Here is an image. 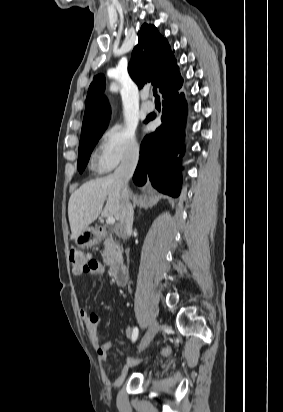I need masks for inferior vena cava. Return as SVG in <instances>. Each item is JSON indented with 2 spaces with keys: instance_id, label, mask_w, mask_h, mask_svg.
I'll use <instances>...</instances> for the list:
<instances>
[{
  "instance_id": "obj_1",
  "label": "inferior vena cava",
  "mask_w": 283,
  "mask_h": 412,
  "mask_svg": "<svg viewBox=\"0 0 283 412\" xmlns=\"http://www.w3.org/2000/svg\"><path fill=\"white\" fill-rule=\"evenodd\" d=\"M139 160V149H131L122 159L114 172L122 185V199L120 204L119 231L123 240H127L132 231L133 207L129 200L128 182L132 177Z\"/></svg>"
}]
</instances>
